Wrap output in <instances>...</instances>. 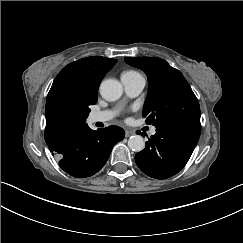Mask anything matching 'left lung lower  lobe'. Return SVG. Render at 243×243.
<instances>
[{"instance_id":"1","label":"left lung lower lobe","mask_w":243,"mask_h":243,"mask_svg":"<svg viewBox=\"0 0 243 243\" xmlns=\"http://www.w3.org/2000/svg\"><path fill=\"white\" fill-rule=\"evenodd\" d=\"M200 133L201 125L189 122L156 127V134L148 139L145 149L135 155L136 164L152 178H169L186 165Z\"/></svg>"}]
</instances>
